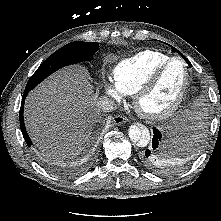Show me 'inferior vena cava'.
<instances>
[{"label":"inferior vena cava","instance_id":"inferior-vena-cava-1","mask_svg":"<svg viewBox=\"0 0 221 221\" xmlns=\"http://www.w3.org/2000/svg\"><path fill=\"white\" fill-rule=\"evenodd\" d=\"M97 108L103 112H111L115 109V103L106 97H103L97 101Z\"/></svg>","mask_w":221,"mask_h":221}]
</instances>
